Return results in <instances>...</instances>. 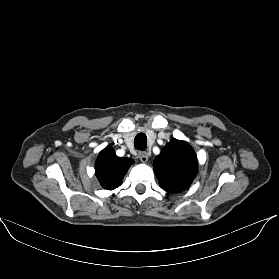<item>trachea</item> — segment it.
<instances>
[{"label": "trachea", "mask_w": 279, "mask_h": 279, "mask_svg": "<svg viewBox=\"0 0 279 279\" xmlns=\"http://www.w3.org/2000/svg\"><path fill=\"white\" fill-rule=\"evenodd\" d=\"M147 144V136L144 133H139L134 139V145L137 150L145 151Z\"/></svg>", "instance_id": "trachea-1"}]
</instances>
